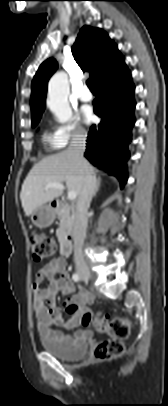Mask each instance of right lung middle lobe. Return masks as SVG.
<instances>
[{
	"mask_svg": "<svg viewBox=\"0 0 168 406\" xmlns=\"http://www.w3.org/2000/svg\"><path fill=\"white\" fill-rule=\"evenodd\" d=\"M39 121L33 122L32 127H35L38 124Z\"/></svg>",
	"mask_w": 168,
	"mask_h": 406,
	"instance_id": "right-lung-middle-lobe-1",
	"label": "right lung middle lobe"
}]
</instances>
